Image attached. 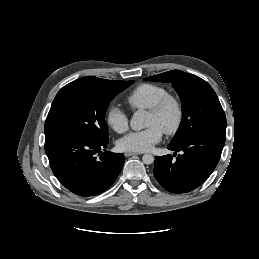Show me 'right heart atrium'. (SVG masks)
<instances>
[{"label": "right heart atrium", "instance_id": "obj_1", "mask_svg": "<svg viewBox=\"0 0 259 259\" xmlns=\"http://www.w3.org/2000/svg\"><path fill=\"white\" fill-rule=\"evenodd\" d=\"M106 122L117 133H124L129 126L128 115L117 106L109 108L106 113Z\"/></svg>", "mask_w": 259, "mask_h": 259}]
</instances>
